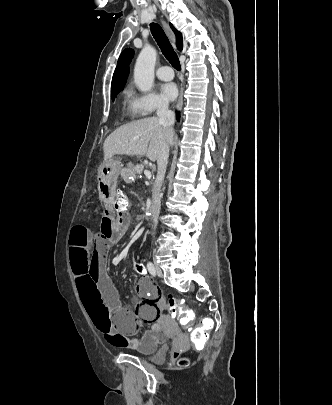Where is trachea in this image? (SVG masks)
<instances>
[{"label":"trachea","instance_id":"1","mask_svg":"<svg viewBox=\"0 0 332 405\" xmlns=\"http://www.w3.org/2000/svg\"><path fill=\"white\" fill-rule=\"evenodd\" d=\"M150 29L155 41L161 49L162 54L176 70L180 71L181 66L178 56L163 29L156 23H151Z\"/></svg>","mask_w":332,"mask_h":405}]
</instances>
